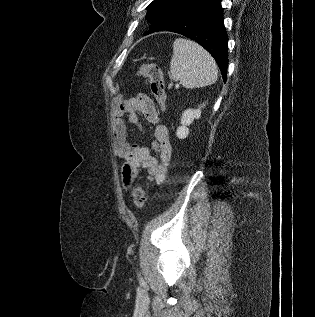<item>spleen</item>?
I'll return each instance as SVG.
<instances>
[{
    "mask_svg": "<svg viewBox=\"0 0 315 317\" xmlns=\"http://www.w3.org/2000/svg\"><path fill=\"white\" fill-rule=\"evenodd\" d=\"M170 74L185 88H199L217 81L218 68L213 57L198 43L177 38L173 43Z\"/></svg>",
    "mask_w": 315,
    "mask_h": 317,
    "instance_id": "obj_1",
    "label": "spleen"
}]
</instances>
